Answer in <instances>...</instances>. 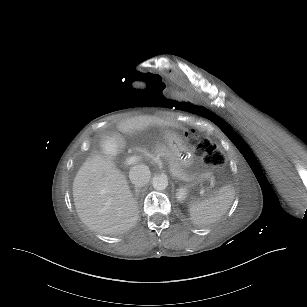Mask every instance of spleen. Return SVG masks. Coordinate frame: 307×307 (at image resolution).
<instances>
[{
  "label": "spleen",
  "instance_id": "obj_1",
  "mask_svg": "<svg viewBox=\"0 0 307 307\" xmlns=\"http://www.w3.org/2000/svg\"><path fill=\"white\" fill-rule=\"evenodd\" d=\"M234 194L233 187L226 185L215 195L194 201L189 207L193 223L197 226H207L218 221L232 204Z\"/></svg>",
  "mask_w": 307,
  "mask_h": 307
}]
</instances>
